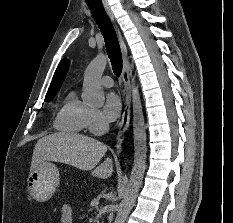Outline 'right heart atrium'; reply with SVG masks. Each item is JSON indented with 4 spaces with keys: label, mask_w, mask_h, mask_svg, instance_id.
I'll return each mask as SVG.
<instances>
[{
    "label": "right heart atrium",
    "mask_w": 233,
    "mask_h": 223,
    "mask_svg": "<svg viewBox=\"0 0 233 223\" xmlns=\"http://www.w3.org/2000/svg\"><path fill=\"white\" fill-rule=\"evenodd\" d=\"M85 128L93 134L100 135L108 130L109 124L99 110L89 108Z\"/></svg>",
    "instance_id": "obj_1"
}]
</instances>
